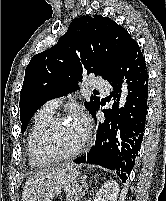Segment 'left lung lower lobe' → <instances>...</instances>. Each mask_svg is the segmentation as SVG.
I'll use <instances>...</instances> for the list:
<instances>
[{"label":"left lung lower lobe","instance_id":"0a47b994","mask_svg":"<svg viewBox=\"0 0 166 201\" xmlns=\"http://www.w3.org/2000/svg\"><path fill=\"white\" fill-rule=\"evenodd\" d=\"M123 76L127 78L129 93L125 107L118 109L120 96L117 93L121 92ZM107 81L114 88L110 97H116L117 101L113 103L112 109L103 110L106 120L99 123L92 149L74 162L97 164L114 170L122 182H126L141 146L148 108L147 68L137 43L132 46L121 67Z\"/></svg>","mask_w":166,"mask_h":201}]
</instances>
